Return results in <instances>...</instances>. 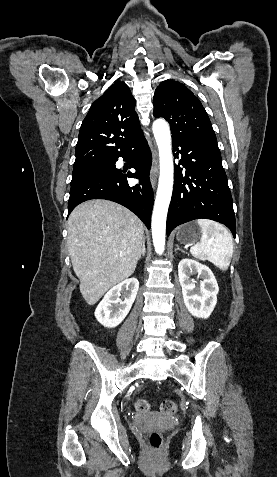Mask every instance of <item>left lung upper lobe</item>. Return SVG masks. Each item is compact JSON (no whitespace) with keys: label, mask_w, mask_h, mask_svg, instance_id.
<instances>
[{"label":"left lung upper lobe","mask_w":277,"mask_h":477,"mask_svg":"<svg viewBox=\"0 0 277 477\" xmlns=\"http://www.w3.org/2000/svg\"><path fill=\"white\" fill-rule=\"evenodd\" d=\"M155 117L170 123L172 137L216 139L210 119L199 99L182 83L166 80L153 98Z\"/></svg>","instance_id":"1"}]
</instances>
